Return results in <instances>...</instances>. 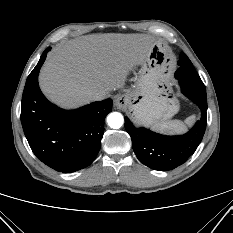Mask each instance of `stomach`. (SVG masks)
I'll return each instance as SVG.
<instances>
[{
	"mask_svg": "<svg viewBox=\"0 0 233 233\" xmlns=\"http://www.w3.org/2000/svg\"><path fill=\"white\" fill-rule=\"evenodd\" d=\"M173 58L167 46L156 41L149 57L140 64L133 87L125 94L133 119L143 125H156L169 120L179 110L170 77Z\"/></svg>",
	"mask_w": 233,
	"mask_h": 233,
	"instance_id": "stomach-1",
	"label": "stomach"
}]
</instances>
